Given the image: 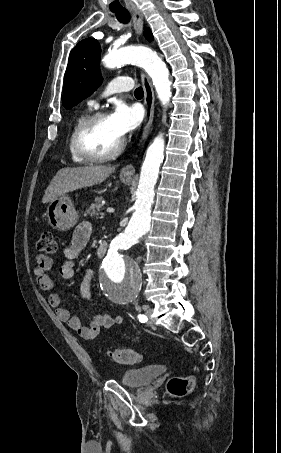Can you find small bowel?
Segmentation results:
<instances>
[{
    "mask_svg": "<svg viewBox=\"0 0 281 453\" xmlns=\"http://www.w3.org/2000/svg\"><path fill=\"white\" fill-rule=\"evenodd\" d=\"M91 235L92 227L88 222H81L75 228L71 242L64 249V261L60 267V274L63 278H72L75 276V261L78 259L83 249L88 245ZM98 245H105V242L100 240L97 246ZM33 268L40 290H51L53 288L51 277L52 258L45 254H39L36 257ZM92 274V270L88 269L80 281L79 294L83 299H88L90 297ZM48 299L50 305L58 309L57 315L59 320L63 323H67L82 339H93L99 334L102 328L114 327L123 322L121 316L112 317L104 313H96L92 317L90 324L84 325L80 317L72 315L68 309L63 308L61 294L56 292L49 293Z\"/></svg>",
    "mask_w": 281,
    "mask_h": 453,
    "instance_id": "obj_1",
    "label": "small bowel"
}]
</instances>
